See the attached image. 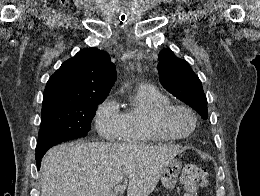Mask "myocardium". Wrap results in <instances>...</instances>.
I'll return each mask as SVG.
<instances>
[{"instance_id":"1","label":"myocardium","mask_w":260,"mask_h":196,"mask_svg":"<svg viewBox=\"0 0 260 196\" xmlns=\"http://www.w3.org/2000/svg\"><path fill=\"white\" fill-rule=\"evenodd\" d=\"M172 111H181L184 114H186L187 116H189L190 119L192 120L191 128L183 133L176 132L172 128H170L166 124V119ZM194 117H195V114H194L193 110L190 109L189 107L182 105V104L169 103L158 109L157 115L151 121L150 125L154 130L159 131L163 136H166L173 140H183V139L188 138L195 130V126L193 124Z\"/></svg>"}]
</instances>
